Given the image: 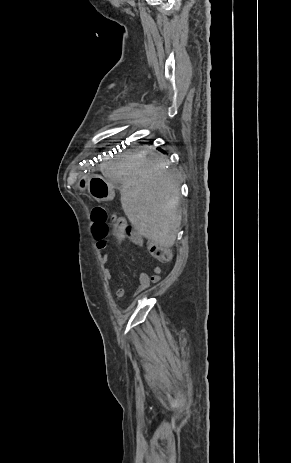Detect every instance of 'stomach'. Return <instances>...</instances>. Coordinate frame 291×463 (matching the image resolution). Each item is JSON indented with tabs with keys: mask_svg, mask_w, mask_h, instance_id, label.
<instances>
[{
	"mask_svg": "<svg viewBox=\"0 0 291 463\" xmlns=\"http://www.w3.org/2000/svg\"><path fill=\"white\" fill-rule=\"evenodd\" d=\"M84 182L79 183L82 187ZM90 195L97 201H106L114 197L112 184L100 176H92L87 183Z\"/></svg>",
	"mask_w": 291,
	"mask_h": 463,
	"instance_id": "0dacf381",
	"label": "stomach"
}]
</instances>
